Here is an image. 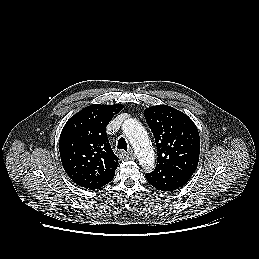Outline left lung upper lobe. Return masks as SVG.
Masks as SVG:
<instances>
[{
  "instance_id": "obj_1",
  "label": "left lung upper lobe",
  "mask_w": 259,
  "mask_h": 259,
  "mask_svg": "<svg viewBox=\"0 0 259 259\" xmlns=\"http://www.w3.org/2000/svg\"><path fill=\"white\" fill-rule=\"evenodd\" d=\"M144 114L157 147L155 170L172 171L189 180L200 154V137L194 122L168 105L149 107Z\"/></svg>"
}]
</instances>
